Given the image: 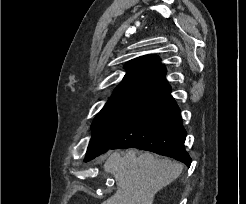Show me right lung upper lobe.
I'll list each match as a JSON object with an SVG mask.
<instances>
[{"mask_svg":"<svg viewBox=\"0 0 246 204\" xmlns=\"http://www.w3.org/2000/svg\"><path fill=\"white\" fill-rule=\"evenodd\" d=\"M122 82L109 101H136L167 84L166 69L156 55H145L129 61Z\"/></svg>","mask_w":246,"mask_h":204,"instance_id":"cb5924a9","label":"right lung upper lobe"}]
</instances>
